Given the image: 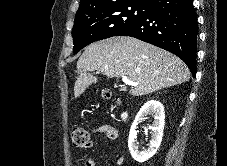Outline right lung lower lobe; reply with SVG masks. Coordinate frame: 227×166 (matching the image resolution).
<instances>
[{"label":"right lung lower lobe","mask_w":227,"mask_h":166,"mask_svg":"<svg viewBox=\"0 0 227 166\" xmlns=\"http://www.w3.org/2000/svg\"><path fill=\"white\" fill-rule=\"evenodd\" d=\"M198 23L191 0H154L146 14L117 36H131L181 58L196 74Z\"/></svg>","instance_id":"1"}]
</instances>
